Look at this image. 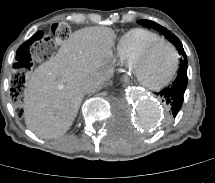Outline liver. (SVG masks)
Instances as JSON below:
<instances>
[{
    "label": "liver",
    "mask_w": 215,
    "mask_h": 183,
    "mask_svg": "<svg viewBox=\"0 0 215 183\" xmlns=\"http://www.w3.org/2000/svg\"><path fill=\"white\" fill-rule=\"evenodd\" d=\"M115 34L105 27L75 31L49 61L27 76L24 117L28 129L41 138L64 135L84 98L82 84L104 77Z\"/></svg>",
    "instance_id": "6515ba94"
}]
</instances>
